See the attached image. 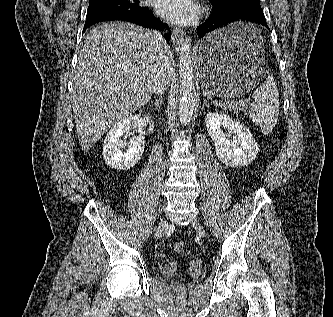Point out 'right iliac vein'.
I'll return each instance as SVG.
<instances>
[{"instance_id":"63e3f726","label":"right iliac vein","mask_w":333,"mask_h":317,"mask_svg":"<svg viewBox=\"0 0 333 317\" xmlns=\"http://www.w3.org/2000/svg\"><path fill=\"white\" fill-rule=\"evenodd\" d=\"M168 230V223L165 218H162L157 225L155 236L157 238L162 237Z\"/></svg>"}]
</instances>
